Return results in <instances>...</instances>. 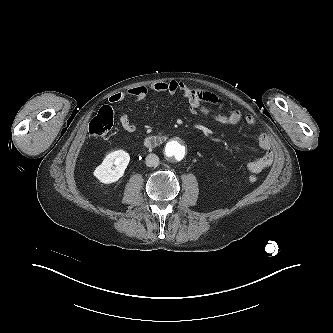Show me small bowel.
Instances as JSON below:
<instances>
[{"instance_id":"c3829d8e","label":"small bowel","mask_w":333,"mask_h":333,"mask_svg":"<svg viewBox=\"0 0 333 333\" xmlns=\"http://www.w3.org/2000/svg\"><path fill=\"white\" fill-rule=\"evenodd\" d=\"M150 92L166 93L169 95L180 93L185 98L189 111L192 114H201L210 117L221 125H235L242 121L247 125L255 124V117L252 114H243L240 110H232L227 114L213 111L208 106L209 104L218 107L226 105V101L222 97L212 91L202 88H192L185 83L178 81L157 82L147 86L126 89L111 95L109 97V102L118 103L126 99L140 101L146 98ZM120 124L128 133L136 131V125L125 113L120 115ZM258 145L264 151L263 155L249 161L247 164L248 170L253 174L262 172L268 168L274 160L272 143L267 134H260Z\"/></svg>"}]
</instances>
